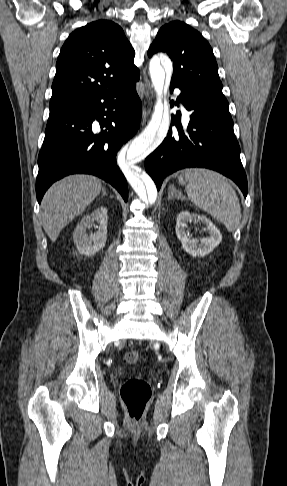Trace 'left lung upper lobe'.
Returning <instances> with one entry per match:
<instances>
[{
	"label": "left lung upper lobe",
	"mask_w": 287,
	"mask_h": 486,
	"mask_svg": "<svg viewBox=\"0 0 287 486\" xmlns=\"http://www.w3.org/2000/svg\"><path fill=\"white\" fill-rule=\"evenodd\" d=\"M157 52H165L173 60L171 83L189 87L212 109L231 117L212 48L197 30L181 21L164 25L148 56Z\"/></svg>",
	"instance_id": "1"
}]
</instances>
